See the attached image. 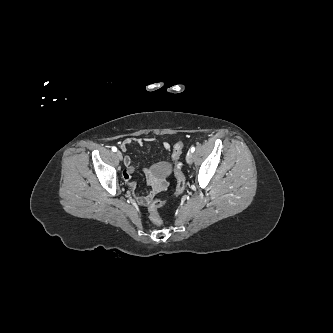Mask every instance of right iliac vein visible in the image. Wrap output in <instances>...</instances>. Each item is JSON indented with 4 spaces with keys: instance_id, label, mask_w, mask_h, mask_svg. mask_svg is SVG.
I'll return each instance as SVG.
<instances>
[{
    "instance_id": "right-iliac-vein-1",
    "label": "right iliac vein",
    "mask_w": 333,
    "mask_h": 333,
    "mask_svg": "<svg viewBox=\"0 0 333 333\" xmlns=\"http://www.w3.org/2000/svg\"><path fill=\"white\" fill-rule=\"evenodd\" d=\"M116 155H117V157H118L120 160L123 159V155H122V153H121L120 151H117V152H116Z\"/></svg>"
}]
</instances>
